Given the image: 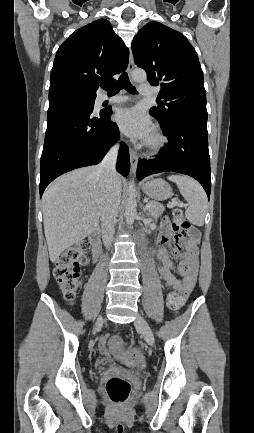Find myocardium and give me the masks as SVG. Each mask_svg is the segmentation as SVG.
<instances>
[{
    "mask_svg": "<svg viewBox=\"0 0 254 433\" xmlns=\"http://www.w3.org/2000/svg\"><path fill=\"white\" fill-rule=\"evenodd\" d=\"M166 137L158 130H156L146 141V148L151 152L161 150L166 144Z\"/></svg>",
    "mask_w": 254,
    "mask_h": 433,
    "instance_id": "1",
    "label": "myocardium"
}]
</instances>
